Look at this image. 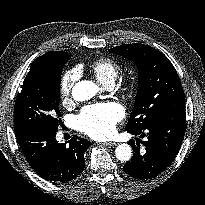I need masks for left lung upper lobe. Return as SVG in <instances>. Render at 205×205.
I'll return each instance as SVG.
<instances>
[{
    "instance_id": "1",
    "label": "left lung upper lobe",
    "mask_w": 205,
    "mask_h": 205,
    "mask_svg": "<svg viewBox=\"0 0 205 205\" xmlns=\"http://www.w3.org/2000/svg\"><path fill=\"white\" fill-rule=\"evenodd\" d=\"M132 60L139 72V89L125 130L138 131L160 116L185 108V96L179 76L160 51L140 43L109 49Z\"/></svg>"
}]
</instances>
